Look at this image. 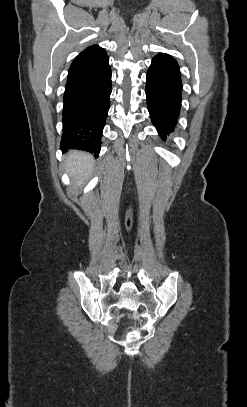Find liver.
Wrapping results in <instances>:
<instances>
[{
  "instance_id": "obj_1",
  "label": "liver",
  "mask_w": 247,
  "mask_h": 407,
  "mask_svg": "<svg viewBox=\"0 0 247 407\" xmlns=\"http://www.w3.org/2000/svg\"><path fill=\"white\" fill-rule=\"evenodd\" d=\"M94 160L91 154L71 151L66 156V169L73 179L74 186H81L91 175Z\"/></svg>"
}]
</instances>
